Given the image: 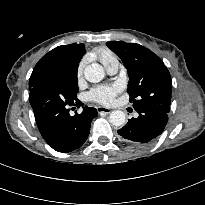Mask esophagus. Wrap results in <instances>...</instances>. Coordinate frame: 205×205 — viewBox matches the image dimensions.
<instances>
[{"label":"esophagus","mask_w":205,"mask_h":205,"mask_svg":"<svg viewBox=\"0 0 205 205\" xmlns=\"http://www.w3.org/2000/svg\"><path fill=\"white\" fill-rule=\"evenodd\" d=\"M97 111H98V113L109 114L111 112V109L99 106V107H97Z\"/></svg>","instance_id":"esophagus-1"}]
</instances>
